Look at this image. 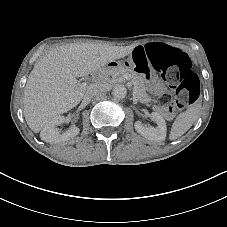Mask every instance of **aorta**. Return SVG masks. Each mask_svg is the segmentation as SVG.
I'll list each match as a JSON object with an SVG mask.
<instances>
[{"label":"aorta","mask_w":227,"mask_h":227,"mask_svg":"<svg viewBox=\"0 0 227 227\" xmlns=\"http://www.w3.org/2000/svg\"><path fill=\"white\" fill-rule=\"evenodd\" d=\"M126 94H127V89L122 84L115 85L112 89V96L116 100H121L125 98Z\"/></svg>","instance_id":"1"}]
</instances>
